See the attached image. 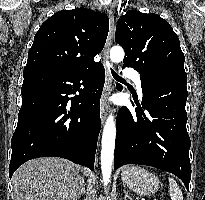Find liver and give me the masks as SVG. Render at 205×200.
I'll list each match as a JSON object with an SVG mask.
<instances>
[{
  "label": "liver",
  "instance_id": "liver-1",
  "mask_svg": "<svg viewBox=\"0 0 205 200\" xmlns=\"http://www.w3.org/2000/svg\"><path fill=\"white\" fill-rule=\"evenodd\" d=\"M79 167L69 160L42 157L29 160L13 174L14 200H76Z\"/></svg>",
  "mask_w": 205,
  "mask_h": 200
}]
</instances>
